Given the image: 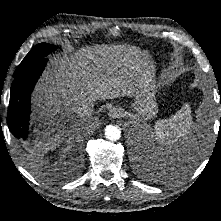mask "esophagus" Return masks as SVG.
Masks as SVG:
<instances>
[{
  "instance_id": "34e87169",
  "label": "esophagus",
  "mask_w": 221,
  "mask_h": 221,
  "mask_svg": "<svg viewBox=\"0 0 221 221\" xmlns=\"http://www.w3.org/2000/svg\"><path fill=\"white\" fill-rule=\"evenodd\" d=\"M121 109L117 107H113L112 109L109 110L108 116L111 119L119 118L121 116Z\"/></svg>"
}]
</instances>
